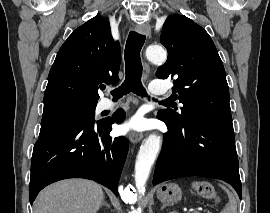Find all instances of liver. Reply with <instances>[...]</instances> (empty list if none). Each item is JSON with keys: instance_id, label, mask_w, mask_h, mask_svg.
Returning <instances> with one entry per match:
<instances>
[{"instance_id": "1", "label": "liver", "mask_w": 270, "mask_h": 213, "mask_svg": "<svg viewBox=\"0 0 270 213\" xmlns=\"http://www.w3.org/2000/svg\"><path fill=\"white\" fill-rule=\"evenodd\" d=\"M104 202L100 185L89 180L69 179L42 190L34 213H96Z\"/></svg>"}]
</instances>
